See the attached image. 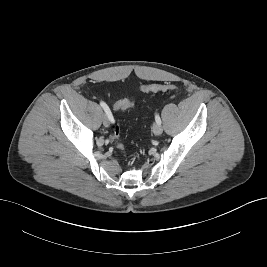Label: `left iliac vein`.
Returning <instances> with one entry per match:
<instances>
[{
    "label": "left iliac vein",
    "mask_w": 267,
    "mask_h": 267,
    "mask_svg": "<svg viewBox=\"0 0 267 267\" xmlns=\"http://www.w3.org/2000/svg\"><path fill=\"white\" fill-rule=\"evenodd\" d=\"M162 131H163V129H162L161 124L156 123L153 125V132L155 135H160L162 133Z\"/></svg>",
    "instance_id": "left-iliac-vein-1"
}]
</instances>
